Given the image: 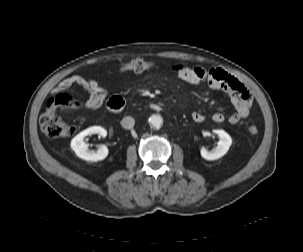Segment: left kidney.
Wrapping results in <instances>:
<instances>
[{"instance_id": "5707ae66", "label": "left kidney", "mask_w": 303, "mask_h": 252, "mask_svg": "<svg viewBox=\"0 0 303 252\" xmlns=\"http://www.w3.org/2000/svg\"><path fill=\"white\" fill-rule=\"evenodd\" d=\"M213 132L218 135L219 142L212 151H207L205 148L201 149L200 151L201 156L206 160H217L221 158L228 152L232 144V139L230 135L226 133L224 130L216 129L213 130Z\"/></svg>"}]
</instances>
